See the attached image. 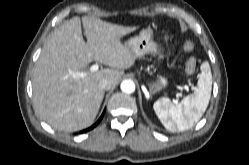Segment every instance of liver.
<instances>
[{
    "mask_svg": "<svg viewBox=\"0 0 249 165\" xmlns=\"http://www.w3.org/2000/svg\"><path fill=\"white\" fill-rule=\"evenodd\" d=\"M81 21L87 43L83 40ZM136 27H124L84 16L73 17L47 39L33 70V103L42 120L59 131H78L95 120L104 98L100 82L109 80L115 87L125 69L137 56L121 42V37ZM110 66L95 72L86 70L84 78L75 72L92 62Z\"/></svg>",
    "mask_w": 249,
    "mask_h": 165,
    "instance_id": "liver-1",
    "label": "liver"
}]
</instances>
